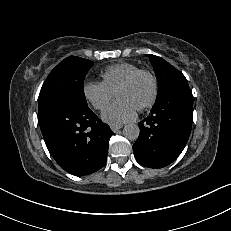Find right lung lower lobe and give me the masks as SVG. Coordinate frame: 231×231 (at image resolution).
<instances>
[{"mask_svg": "<svg viewBox=\"0 0 231 231\" xmlns=\"http://www.w3.org/2000/svg\"><path fill=\"white\" fill-rule=\"evenodd\" d=\"M48 150L68 173L83 176L105 165L113 132L87 105L56 102L38 112Z\"/></svg>", "mask_w": 231, "mask_h": 231, "instance_id": "obj_1", "label": "right lung lower lobe"}]
</instances>
